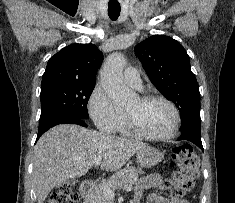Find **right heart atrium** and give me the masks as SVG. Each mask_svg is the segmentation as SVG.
<instances>
[{
    "mask_svg": "<svg viewBox=\"0 0 235 203\" xmlns=\"http://www.w3.org/2000/svg\"><path fill=\"white\" fill-rule=\"evenodd\" d=\"M87 107L96 127L106 133L115 132L125 116L101 85L93 89Z\"/></svg>",
    "mask_w": 235,
    "mask_h": 203,
    "instance_id": "d8ad5b80",
    "label": "right heart atrium"
}]
</instances>
